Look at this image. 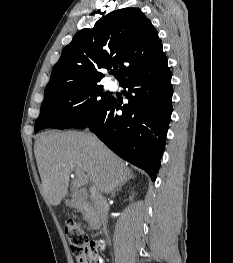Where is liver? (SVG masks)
Here are the masks:
<instances>
[{
	"mask_svg": "<svg viewBox=\"0 0 233 263\" xmlns=\"http://www.w3.org/2000/svg\"><path fill=\"white\" fill-rule=\"evenodd\" d=\"M44 199L57 206L65 198L71 173L85 172L99 192L109 193L132 176L125 162L88 132L41 134L34 145Z\"/></svg>",
	"mask_w": 233,
	"mask_h": 263,
	"instance_id": "6515ba94",
	"label": "liver"
}]
</instances>
